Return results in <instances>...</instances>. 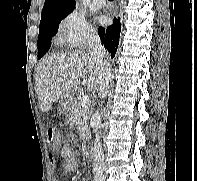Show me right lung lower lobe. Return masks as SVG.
Listing matches in <instances>:
<instances>
[{
	"label": "right lung lower lobe",
	"instance_id": "1",
	"mask_svg": "<svg viewBox=\"0 0 197 181\" xmlns=\"http://www.w3.org/2000/svg\"><path fill=\"white\" fill-rule=\"evenodd\" d=\"M120 30V18L114 19L113 24L106 29L101 26L98 29L102 44L104 45L105 49L111 53V57H114L116 54L119 44Z\"/></svg>",
	"mask_w": 197,
	"mask_h": 181
}]
</instances>
